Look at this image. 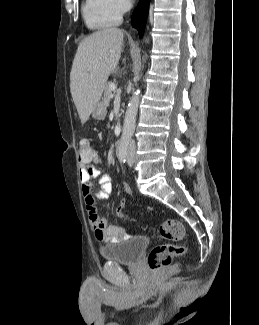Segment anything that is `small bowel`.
<instances>
[{"label":"small bowel","mask_w":259,"mask_h":325,"mask_svg":"<svg viewBox=\"0 0 259 325\" xmlns=\"http://www.w3.org/2000/svg\"><path fill=\"white\" fill-rule=\"evenodd\" d=\"M102 165V159L94 151L91 160L80 162V180L82 184V194L86 204L90 224L94 230L96 238L105 243H118L129 238L125 228L108 224L107 220L101 217L96 208V201H105L112 191L111 177L109 174L101 175L97 166ZM99 178V189L93 191L92 179ZM126 194L131 193V188L127 183L123 184Z\"/></svg>","instance_id":"1"}]
</instances>
